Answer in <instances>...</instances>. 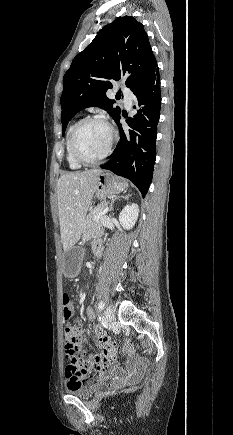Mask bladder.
<instances>
[{"mask_svg": "<svg viewBox=\"0 0 233 435\" xmlns=\"http://www.w3.org/2000/svg\"><path fill=\"white\" fill-rule=\"evenodd\" d=\"M105 379L96 380L85 386H79L75 384H66L65 389L68 394L80 397H90L95 391L104 384Z\"/></svg>", "mask_w": 233, "mask_h": 435, "instance_id": "31cf9c89", "label": "bladder"}]
</instances>
